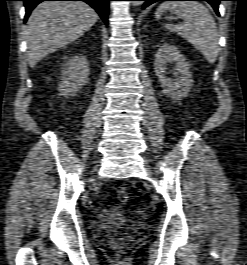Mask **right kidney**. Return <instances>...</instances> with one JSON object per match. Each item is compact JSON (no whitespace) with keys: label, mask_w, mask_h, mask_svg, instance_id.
I'll return each instance as SVG.
<instances>
[{"label":"right kidney","mask_w":247,"mask_h":265,"mask_svg":"<svg viewBox=\"0 0 247 265\" xmlns=\"http://www.w3.org/2000/svg\"><path fill=\"white\" fill-rule=\"evenodd\" d=\"M89 63L84 56L71 57L62 68L60 95H74L88 82Z\"/></svg>","instance_id":"ca27d5eb"}]
</instances>
